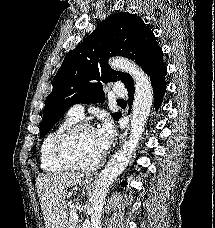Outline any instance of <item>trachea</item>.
<instances>
[{"mask_svg": "<svg viewBox=\"0 0 215 228\" xmlns=\"http://www.w3.org/2000/svg\"><path fill=\"white\" fill-rule=\"evenodd\" d=\"M117 103L118 104H126V101L121 98L120 100H117Z\"/></svg>", "mask_w": 215, "mask_h": 228, "instance_id": "obj_1", "label": "trachea"}]
</instances>
